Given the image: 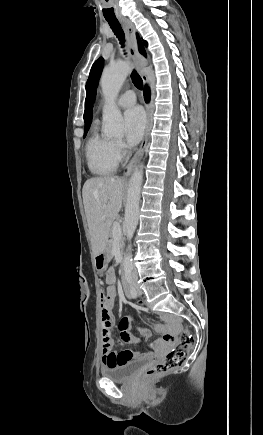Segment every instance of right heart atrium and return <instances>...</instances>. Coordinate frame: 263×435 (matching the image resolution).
<instances>
[{
	"label": "right heart atrium",
	"instance_id": "obj_1",
	"mask_svg": "<svg viewBox=\"0 0 263 435\" xmlns=\"http://www.w3.org/2000/svg\"><path fill=\"white\" fill-rule=\"evenodd\" d=\"M126 152V146L122 141H114V153L118 161L125 157Z\"/></svg>",
	"mask_w": 263,
	"mask_h": 435
}]
</instances>
